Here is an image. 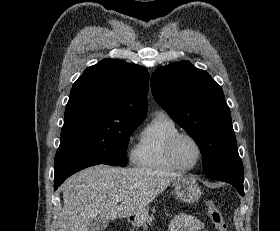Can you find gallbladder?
Segmentation results:
<instances>
[{
	"mask_svg": "<svg viewBox=\"0 0 280 231\" xmlns=\"http://www.w3.org/2000/svg\"><path fill=\"white\" fill-rule=\"evenodd\" d=\"M109 221L105 217H95L92 221H89L87 225V231H102L107 227Z\"/></svg>",
	"mask_w": 280,
	"mask_h": 231,
	"instance_id": "1",
	"label": "gallbladder"
}]
</instances>
